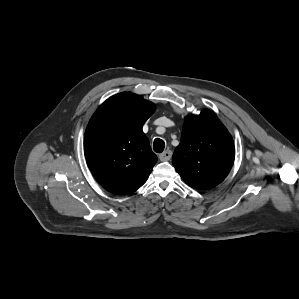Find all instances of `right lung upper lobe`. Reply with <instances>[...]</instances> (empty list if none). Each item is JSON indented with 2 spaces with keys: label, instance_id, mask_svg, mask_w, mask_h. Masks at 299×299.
<instances>
[{
  "label": "right lung upper lobe",
  "instance_id": "right-lung-upper-lobe-1",
  "mask_svg": "<svg viewBox=\"0 0 299 299\" xmlns=\"http://www.w3.org/2000/svg\"><path fill=\"white\" fill-rule=\"evenodd\" d=\"M155 105L131 92L107 99L93 114L84 137L89 169L108 191L129 194L149 177L157 156L142 131Z\"/></svg>",
  "mask_w": 299,
  "mask_h": 299
}]
</instances>
